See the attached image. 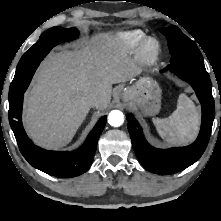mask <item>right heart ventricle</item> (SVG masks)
Returning a JSON list of instances; mask_svg holds the SVG:
<instances>
[{
  "label": "right heart ventricle",
  "mask_w": 221,
  "mask_h": 221,
  "mask_svg": "<svg viewBox=\"0 0 221 221\" xmlns=\"http://www.w3.org/2000/svg\"><path fill=\"white\" fill-rule=\"evenodd\" d=\"M143 38L144 33L140 30L128 31L120 35L122 44L128 49H132L137 46Z\"/></svg>",
  "instance_id": "1"
}]
</instances>
